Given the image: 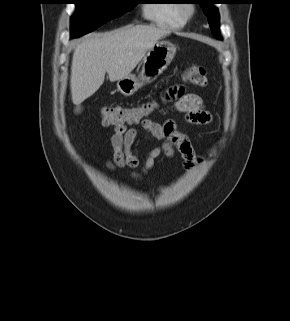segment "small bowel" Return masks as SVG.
Listing matches in <instances>:
<instances>
[{
    "mask_svg": "<svg viewBox=\"0 0 290 321\" xmlns=\"http://www.w3.org/2000/svg\"><path fill=\"white\" fill-rule=\"evenodd\" d=\"M175 97L172 109L182 113L189 124L206 126L212 122L211 113L205 108L202 99L194 94H185L178 89L168 92ZM144 131L162 141L161 145L153 148L146 159L142 173L149 171L155 163L157 157L162 154L173 157L177 151L183 160L186 169H191L197 160L195 148L190 138L180 132L176 123L168 119L163 123L151 119H144L141 122ZM138 131L136 128L126 126H114L111 141V154L107 162L110 169L115 168H137L139 159L133 151V146L137 140ZM139 177L141 173L134 174Z\"/></svg>",
    "mask_w": 290,
    "mask_h": 321,
    "instance_id": "c3829d8e",
    "label": "small bowel"
}]
</instances>
